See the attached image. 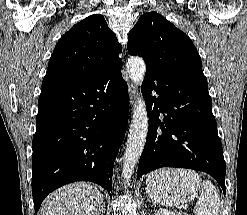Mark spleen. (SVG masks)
<instances>
[{
  "label": "spleen",
  "mask_w": 247,
  "mask_h": 215,
  "mask_svg": "<svg viewBox=\"0 0 247 215\" xmlns=\"http://www.w3.org/2000/svg\"><path fill=\"white\" fill-rule=\"evenodd\" d=\"M220 196L210 181L202 184L201 195L194 208L196 215H220Z\"/></svg>",
  "instance_id": "spleen-1"
}]
</instances>
